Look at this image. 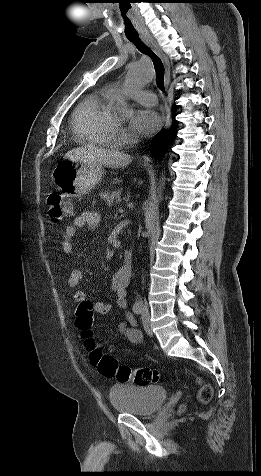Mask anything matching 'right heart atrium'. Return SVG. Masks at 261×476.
Here are the masks:
<instances>
[{"label": "right heart atrium", "instance_id": "right-heart-atrium-1", "mask_svg": "<svg viewBox=\"0 0 261 476\" xmlns=\"http://www.w3.org/2000/svg\"><path fill=\"white\" fill-rule=\"evenodd\" d=\"M130 136L129 131L122 127V126H117L115 129V137L119 140L126 139Z\"/></svg>", "mask_w": 261, "mask_h": 476}]
</instances>
